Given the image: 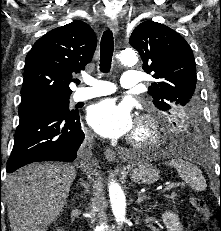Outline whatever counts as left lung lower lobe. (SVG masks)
Returning a JSON list of instances; mask_svg holds the SVG:
<instances>
[{
	"label": "left lung lower lobe",
	"instance_id": "1",
	"mask_svg": "<svg viewBox=\"0 0 221 231\" xmlns=\"http://www.w3.org/2000/svg\"><path fill=\"white\" fill-rule=\"evenodd\" d=\"M189 129H190V132L194 134L190 138H194L197 141L204 140V135L201 133L200 123H199L198 118L197 119L193 118V120L189 123ZM174 139L177 144H181L182 146L187 144L186 138H183L182 136L174 137Z\"/></svg>",
	"mask_w": 221,
	"mask_h": 231
}]
</instances>
